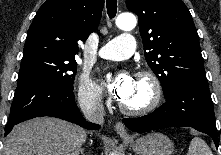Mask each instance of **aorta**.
<instances>
[{"label":"aorta","instance_id":"aorta-1","mask_svg":"<svg viewBox=\"0 0 221 155\" xmlns=\"http://www.w3.org/2000/svg\"><path fill=\"white\" fill-rule=\"evenodd\" d=\"M136 23V18L132 14H121L116 19V25L124 31H131L135 28Z\"/></svg>","mask_w":221,"mask_h":155}]
</instances>
